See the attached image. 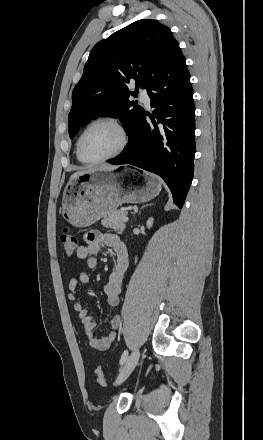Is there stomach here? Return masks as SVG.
<instances>
[{
    "label": "stomach",
    "instance_id": "obj_1",
    "mask_svg": "<svg viewBox=\"0 0 263 440\" xmlns=\"http://www.w3.org/2000/svg\"><path fill=\"white\" fill-rule=\"evenodd\" d=\"M160 191V179L147 172L94 170L69 180L60 211L71 225L87 227L124 203L147 202Z\"/></svg>",
    "mask_w": 263,
    "mask_h": 440
}]
</instances>
